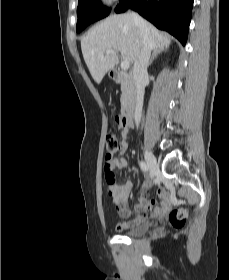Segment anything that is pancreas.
<instances>
[{"instance_id": "obj_1", "label": "pancreas", "mask_w": 229, "mask_h": 280, "mask_svg": "<svg viewBox=\"0 0 229 280\" xmlns=\"http://www.w3.org/2000/svg\"><path fill=\"white\" fill-rule=\"evenodd\" d=\"M121 104L124 105L132 96V84L128 80H123L121 82Z\"/></svg>"}]
</instances>
